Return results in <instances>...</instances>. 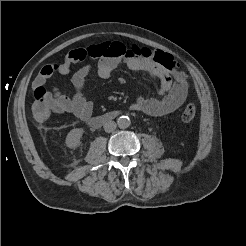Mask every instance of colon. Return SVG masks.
<instances>
[{
    "instance_id": "colon-1",
    "label": "colon",
    "mask_w": 246,
    "mask_h": 246,
    "mask_svg": "<svg viewBox=\"0 0 246 246\" xmlns=\"http://www.w3.org/2000/svg\"><path fill=\"white\" fill-rule=\"evenodd\" d=\"M140 55L143 58L151 59L163 65L171 72L177 81L186 79V72L183 71L173 57L163 54L161 51H150L149 49H140ZM32 115L37 123H43L47 120L51 112L50 102L44 87H37L34 90V101L32 103ZM196 116V107L188 104L182 112V120L184 122L192 121Z\"/></svg>"
}]
</instances>
